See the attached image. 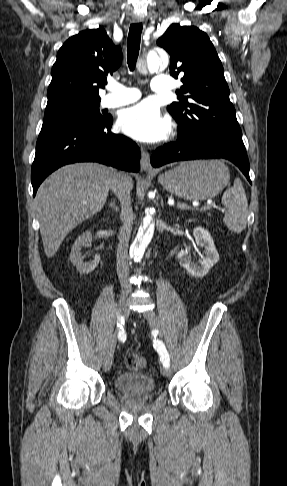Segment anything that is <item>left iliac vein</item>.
Returning a JSON list of instances; mask_svg holds the SVG:
<instances>
[{"label": "left iliac vein", "instance_id": "1", "mask_svg": "<svg viewBox=\"0 0 287 486\" xmlns=\"http://www.w3.org/2000/svg\"><path fill=\"white\" fill-rule=\"evenodd\" d=\"M143 316L145 319L148 321V323L156 330H159L161 327V320L159 316L153 311L149 310L143 313ZM161 373L165 377H169L172 373L171 369L169 367H163L161 369Z\"/></svg>", "mask_w": 287, "mask_h": 486}]
</instances>
